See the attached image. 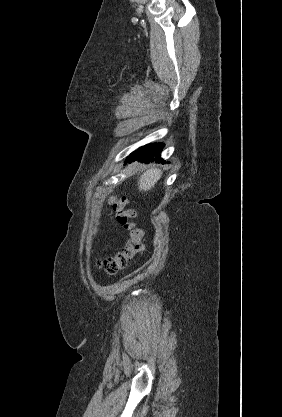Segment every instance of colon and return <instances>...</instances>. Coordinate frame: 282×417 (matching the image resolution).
Masks as SVG:
<instances>
[{"label":"colon","instance_id":"obj_1","mask_svg":"<svg viewBox=\"0 0 282 417\" xmlns=\"http://www.w3.org/2000/svg\"><path fill=\"white\" fill-rule=\"evenodd\" d=\"M111 203L118 213L119 223L127 230V236L121 252L113 258L99 261L100 268L109 274H113L127 267L143 252L144 248L142 243L143 231L134 223L135 213L132 209L127 208L126 197L120 193L114 194L111 196Z\"/></svg>","mask_w":282,"mask_h":417}]
</instances>
